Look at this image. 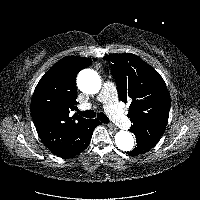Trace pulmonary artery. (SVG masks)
Returning a JSON list of instances; mask_svg holds the SVG:
<instances>
[{
  "instance_id": "e3ab8cb5",
  "label": "pulmonary artery",
  "mask_w": 200,
  "mask_h": 200,
  "mask_svg": "<svg viewBox=\"0 0 200 200\" xmlns=\"http://www.w3.org/2000/svg\"><path fill=\"white\" fill-rule=\"evenodd\" d=\"M96 100L104 105L107 114L118 126L127 128L130 125L129 118L119 108L117 89L112 82L103 83Z\"/></svg>"
}]
</instances>
